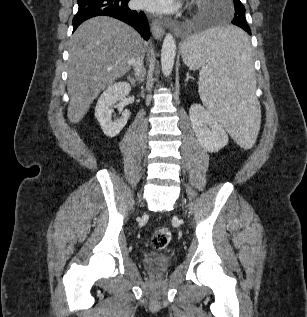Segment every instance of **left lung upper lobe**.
Here are the masks:
<instances>
[{"mask_svg":"<svg viewBox=\"0 0 307 317\" xmlns=\"http://www.w3.org/2000/svg\"><path fill=\"white\" fill-rule=\"evenodd\" d=\"M234 2V19L232 23L234 24H242L247 26L246 18H245V7L241 3L240 0H233Z\"/></svg>","mask_w":307,"mask_h":317,"instance_id":"1","label":"left lung upper lobe"}]
</instances>
